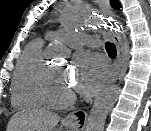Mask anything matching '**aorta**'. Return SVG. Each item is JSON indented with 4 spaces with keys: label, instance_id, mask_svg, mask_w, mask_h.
<instances>
[{
    "label": "aorta",
    "instance_id": "762f6f07",
    "mask_svg": "<svg viewBox=\"0 0 151 131\" xmlns=\"http://www.w3.org/2000/svg\"><path fill=\"white\" fill-rule=\"evenodd\" d=\"M75 10L67 9L62 14V20L65 24H71L75 28L88 24L91 27H101L104 25L103 21L98 18H90L88 20H80L75 17ZM52 56L55 58L65 57L66 51L61 48L59 44L51 46ZM120 88L118 85H111L107 87L94 101L90 110L85 131H103L105 121L108 113L113 108L118 100Z\"/></svg>",
    "mask_w": 151,
    "mask_h": 131
}]
</instances>
